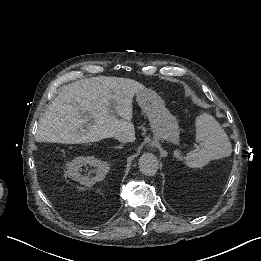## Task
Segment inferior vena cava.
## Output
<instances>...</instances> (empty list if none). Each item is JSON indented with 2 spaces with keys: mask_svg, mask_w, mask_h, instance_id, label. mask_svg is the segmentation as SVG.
<instances>
[{
  "mask_svg": "<svg viewBox=\"0 0 261 261\" xmlns=\"http://www.w3.org/2000/svg\"><path fill=\"white\" fill-rule=\"evenodd\" d=\"M120 142H126V140L125 139H123V140H121V139H118Z\"/></svg>",
  "mask_w": 261,
  "mask_h": 261,
  "instance_id": "602c4592",
  "label": "inferior vena cava"
}]
</instances>
